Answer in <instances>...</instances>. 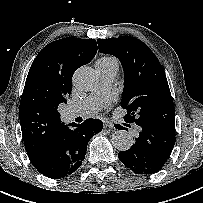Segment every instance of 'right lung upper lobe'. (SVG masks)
<instances>
[{
	"instance_id": "1",
	"label": "right lung upper lobe",
	"mask_w": 203,
	"mask_h": 203,
	"mask_svg": "<svg viewBox=\"0 0 203 203\" xmlns=\"http://www.w3.org/2000/svg\"><path fill=\"white\" fill-rule=\"evenodd\" d=\"M96 52L94 39L67 37L46 45L33 61L19 107L25 150L32 164L44 157L64 126L57 108L70 96L74 72Z\"/></svg>"
}]
</instances>
